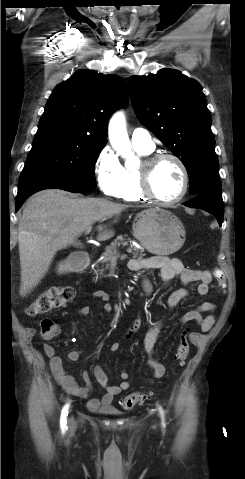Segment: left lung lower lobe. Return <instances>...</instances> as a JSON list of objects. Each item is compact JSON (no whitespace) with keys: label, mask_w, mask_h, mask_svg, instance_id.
I'll list each match as a JSON object with an SVG mask.
<instances>
[{"label":"left lung lower lobe","mask_w":245,"mask_h":479,"mask_svg":"<svg viewBox=\"0 0 245 479\" xmlns=\"http://www.w3.org/2000/svg\"><path fill=\"white\" fill-rule=\"evenodd\" d=\"M190 208H198L213 214L222 225L224 205L221 184L216 183L197 194L196 198L184 204Z\"/></svg>","instance_id":"0a47b994"}]
</instances>
